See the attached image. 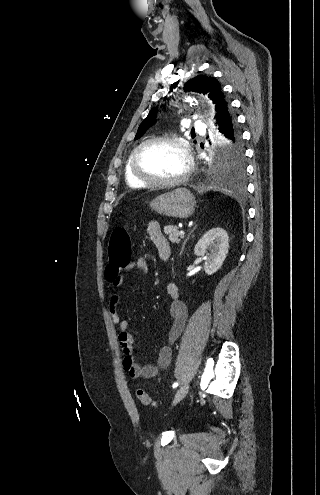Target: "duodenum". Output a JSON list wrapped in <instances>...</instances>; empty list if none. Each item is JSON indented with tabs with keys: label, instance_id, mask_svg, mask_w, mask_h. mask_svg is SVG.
I'll return each instance as SVG.
<instances>
[{
	"label": "duodenum",
	"instance_id": "1",
	"mask_svg": "<svg viewBox=\"0 0 320 495\" xmlns=\"http://www.w3.org/2000/svg\"><path fill=\"white\" fill-rule=\"evenodd\" d=\"M160 257L167 261L170 257V248H167V249H163L160 253Z\"/></svg>",
	"mask_w": 320,
	"mask_h": 495
}]
</instances>
